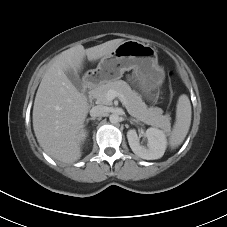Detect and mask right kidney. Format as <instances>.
I'll use <instances>...</instances> for the list:
<instances>
[{
  "instance_id": "ca27d5eb",
  "label": "right kidney",
  "mask_w": 227,
  "mask_h": 227,
  "mask_svg": "<svg viewBox=\"0 0 227 227\" xmlns=\"http://www.w3.org/2000/svg\"><path fill=\"white\" fill-rule=\"evenodd\" d=\"M86 137V132H82V134H81V140H84V138Z\"/></svg>"
}]
</instances>
